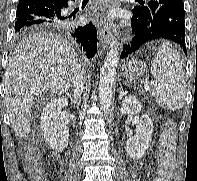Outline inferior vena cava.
I'll return each instance as SVG.
<instances>
[{
  "label": "inferior vena cava",
  "mask_w": 197,
  "mask_h": 181,
  "mask_svg": "<svg viewBox=\"0 0 197 181\" xmlns=\"http://www.w3.org/2000/svg\"><path fill=\"white\" fill-rule=\"evenodd\" d=\"M85 76L83 72L80 70L78 74L75 76L73 81V98L78 103L81 100V94L83 91Z\"/></svg>",
  "instance_id": "inferior-vena-cava-1"
}]
</instances>
